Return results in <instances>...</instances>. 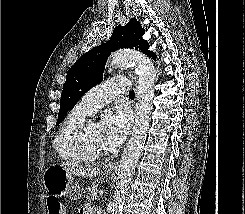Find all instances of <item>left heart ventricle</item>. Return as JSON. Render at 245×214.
Segmentation results:
<instances>
[{
  "label": "left heart ventricle",
  "instance_id": "obj_1",
  "mask_svg": "<svg viewBox=\"0 0 245 214\" xmlns=\"http://www.w3.org/2000/svg\"><path fill=\"white\" fill-rule=\"evenodd\" d=\"M85 144L87 149L92 153H104L105 149L103 148L97 133V125L91 123L86 130L85 134Z\"/></svg>",
  "mask_w": 245,
  "mask_h": 214
}]
</instances>
